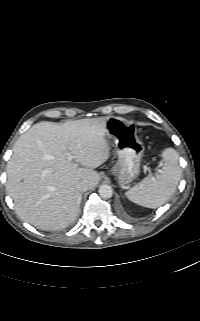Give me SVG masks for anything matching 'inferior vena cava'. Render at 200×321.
Wrapping results in <instances>:
<instances>
[{
	"label": "inferior vena cava",
	"instance_id": "inferior-vena-cava-1",
	"mask_svg": "<svg viewBox=\"0 0 200 321\" xmlns=\"http://www.w3.org/2000/svg\"><path fill=\"white\" fill-rule=\"evenodd\" d=\"M76 187L78 190H80L81 192H85L86 190H88V181L87 180H80L77 184Z\"/></svg>",
	"mask_w": 200,
	"mask_h": 321
}]
</instances>
